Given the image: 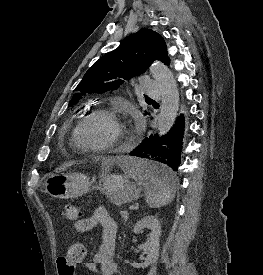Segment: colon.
<instances>
[{"label": "colon", "mask_w": 263, "mask_h": 275, "mask_svg": "<svg viewBox=\"0 0 263 275\" xmlns=\"http://www.w3.org/2000/svg\"><path fill=\"white\" fill-rule=\"evenodd\" d=\"M63 214L69 220H76L80 216V210L75 205L67 204ZM85 254L86 250L82 244H73L65 255L57 259L59 275H74L76 265L83 261Z\"/></svg>", "instance_id": "colon-1"}]
</instances>
